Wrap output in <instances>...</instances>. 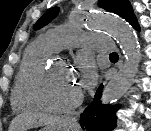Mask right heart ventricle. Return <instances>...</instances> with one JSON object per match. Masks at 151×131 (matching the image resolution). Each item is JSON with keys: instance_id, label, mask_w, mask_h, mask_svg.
Returning <instances> with one entry per match:
<instances>
[{"instance_id": "right-heart-ventricle-1", "label": "right heart ventricle", "mask_w": 151, "mask_h": 131, "mask_svg": "<svg viewBox=\"0 0 151 131\" xmlns=\"http://www.w3.org/2000/svg\"><path fill=\"white\" fill-rule=\"evenodd\" d=\"M55 51L44 37L38 38L25 49L10 96L14 111L25 112L37 108L30 95V83L39 67Z\"/></svg>"}]
</instances>
